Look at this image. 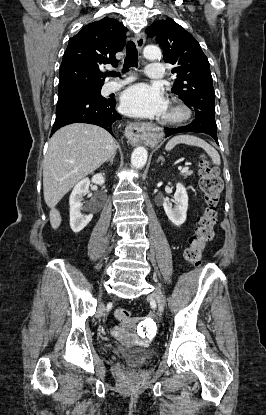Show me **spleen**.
<instances>
[{"mask_svg": "<svg viewBox=\"0 0 266 415\" xmlns=\"http://www.w3.org/2000/svg\"><path fill=\"white\" fill-rule=\"evenodd\" d=\"M179 143L201 147L211 157L214 164H220L219 153L206 141L192 135H178L173 137L168 141V143L165 146V149L167 151H170Z\"/></svg>", "mask_w": 266, "mask_h": 415, "instance_id": "3e777b00", "label": "spleen"}]
</instances>
